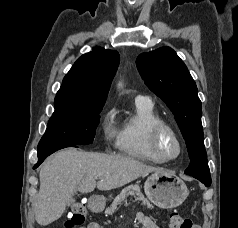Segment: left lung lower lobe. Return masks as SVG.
Returning <instances> with one entry per match:
<instances>
[{
	"label": "left lung lower lobe",
	"mask_w": 238,
	"mask_h": 228,
	"mask_svg": "<svg viewBox=\"0 0 238 228\" xmlns=\"http://www.w3.org/2000/svg\"><path fill=\"white\" fill-rule=\"evenodd\" d=\"M185 174H188L185 172ZM190 176H193L194 178L198 179L202 183L205 184V186L209 187L211 185V178L206 175H200V174H188Z\"/></svg>",
	"instance_id": "1"
}]
</instances>
